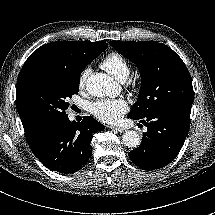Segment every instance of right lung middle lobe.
<instances>
[{
    "mask_svg": "<svg viewBox=\"0 0 215 215\" xmlns=\"http://www.w3.org/2000/svg\"><path fill=\"white\" fill-rule=\"evenodd\" d=\"M84 68L76 72H63L54 78L40 80L28 86L22 94V109L28 120L41 126L46 122L67 116L68 98L78 94L80 74Z\"/></svg>",
    "mask_w": 215,
    "mask_h": 215,
    "instance_id": "1",
    "label": "right lung middle lobe"
}]
</instances>
